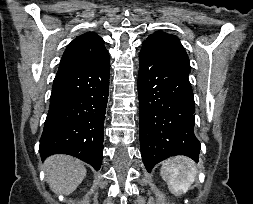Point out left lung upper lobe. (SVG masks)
<instances>
[{
    "mask_svg": "<svg viewBox=\"0 0 253 204\" xmlns=\"http://www.w3.org/2000/svg\"><path fill=\"white\" fill-rule=\"evenodd\" d=\"M142 49L151 50L166 59L178 63L187 72H190L188 55L175 35L157 31L143 42Z\"/></svg>",
    "mask_w": 253,
    "mask_h": 204,
    "instance_id": "left-lung-upper-lobe-1",
    "label": "left lung upper lobe"
}]
</instances>
